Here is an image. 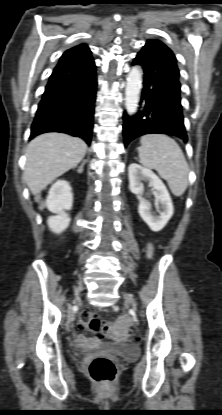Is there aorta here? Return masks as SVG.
I'll return each instance as SVG.
<instances>
[{"label": "aorta", "instance_id": "762f6f07", "mask_svg": "<svg viewBox=\"0 0 222 415\" xmlns=\"http://www.w3.org/2000/svg\"><path fill=\"white\" fill-rule=\"evenodd\" d=\"M142 75L143 72L141 67L134 66L127 76L125 107L129 115L135 114L138 108L142 88Z\"/></svg>", "mask_w": 222, "mask_h": 415}]
</instances>
